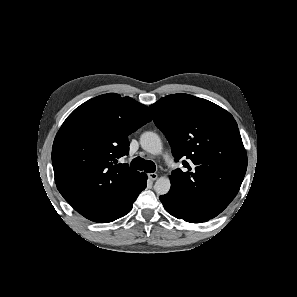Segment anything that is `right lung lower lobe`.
I'll return each mask as SVG.
<instances>
[{
    "mask_svg": "<svg viewBox=\"0 0 297 297\" xmlns=\"http://www.w3.org/2000/svg\"><path fill=\"white\" fill-rule=\"evenodd\" d=\"M147 175L140 173L133 181L128 191L121 197L115 206L98 222L108 223L125 216L132 209L138 195L146 188Z\"/></svg>",
    "mask_w": 297,
    "mask_h": 297,
    "instance_id": "right-lung-lower-lobe-1",
    "label": "right lung lower lobe"
}]
</instances>
